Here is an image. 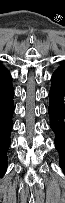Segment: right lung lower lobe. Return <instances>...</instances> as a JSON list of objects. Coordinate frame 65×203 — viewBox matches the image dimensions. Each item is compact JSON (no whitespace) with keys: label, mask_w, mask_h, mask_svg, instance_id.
Masks as SVG:
<instances>
[{"label":"right lung lower lobe","mask_w":65,"mask_h":203,"mask_svg":"<svg viewBox=\"0 0 65 203\" xmlns=\"http://www.w3.org/2000/svg\"><path fill=\"white\" fill-rule=\"evenodd\" d=\"M13 93L11 75L0 65V177L4 176L7 169V152L13 124Z\"/></svg>","instance_id":"obj_1"}]
</instances>
